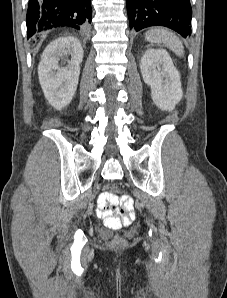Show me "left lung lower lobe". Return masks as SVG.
I'll list each match as a JSON object with an SVG mask.
<instances>
[{
  "label": "left lung lower lobe",
  "mask_w": 227,
  "mask_h": 298,
  "mask_svg": "<svg viewBox=\"0 0 227 298\" xmlns=\"http://www.w3.org/2000/svg\"><path fill=\"white\" fill-rule=\"evenodd\" d=\"M130 29L169 27L183 37L191 35L192 9L189 0H126Z\"/></svg>",
  "instance_id": "0a47b994"
}]
</instances>
